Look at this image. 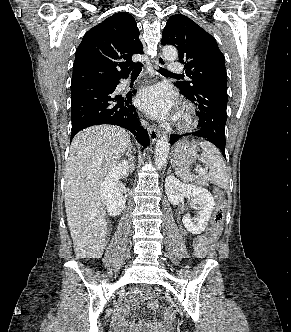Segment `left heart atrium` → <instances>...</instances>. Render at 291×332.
<instances>
[{
    "instance_id": "39dd6f15",
    "label": "left heart atrium",
    "mask_w": 291,
    "mask_h": 332,
    "mask_svg": "<svg viewBox=\"0 0 291 332\" xmlns=\"http://www.w3.org/2000/svg\"><path fill=\"white\" fill-rule=\"evenodd\" d=\"M176 102L175 95L165 85H155L142 90L138 97V106L147 114L164 118Z\"/></svg>"
}]
</instances>
